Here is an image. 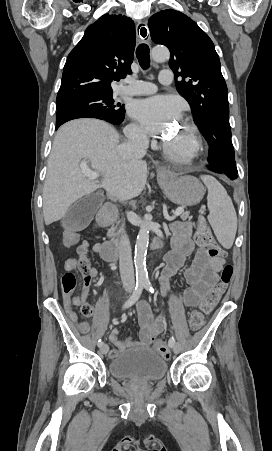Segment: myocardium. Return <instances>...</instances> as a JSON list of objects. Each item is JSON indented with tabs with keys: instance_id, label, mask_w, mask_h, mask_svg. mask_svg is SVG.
Returning a JSON list of instances; mask_svg holds the SVG:
<instances>
[{
	"instance_id": "myocardium-1",
	"label": "myocardium",
	"mask_w": 272,
	"mask_h": 451,
	"mask_svg": "<svg viewBox=\"0 0 272 451\" xmlns=\"http://www.w3.org/2000/svg\"><path fill=\"white\" fill-rule=\"evenodd\" d=\"M183 125L188 132V140L183 144L171 147L172 155L180 159L194 157L200 147L197 130L187 122H184Z\"/></svg>"
}]
</instances>
